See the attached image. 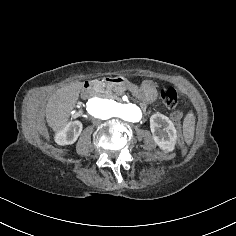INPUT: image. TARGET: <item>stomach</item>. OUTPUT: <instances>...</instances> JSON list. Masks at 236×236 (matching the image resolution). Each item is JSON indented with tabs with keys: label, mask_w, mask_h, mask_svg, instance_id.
<instances>
[{
	"label": "stomach",
	"mask_w": 236,
	"mask_h": 236,
	"mask_svg": "<svg viewBox=\"0 0 236 236\" xmlns=\"http://www.w3.org/2000/svg\"><path fill=\"white\" fill-rule=\"evenodd\" d=\"M127 92H132L138 96V100L142 104L153 105L157 101L158 87L153 81H143L141 86L127 83L124 86Z\"/></svg>",
	"instance_id": "1"
}]
</instances>
